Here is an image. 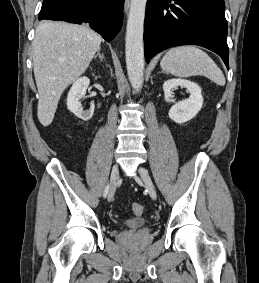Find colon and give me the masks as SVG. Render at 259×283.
<instances>
[{"mask_svg":"<svg viewBox=\"0 0 259 283\" xmlns=\"http://www.w3.org/2000/svg\"><path fill=\"white\" fill-rule=\"evenodd\" d=\"M131 210L135 215L141 216V215H143L145 208L140 203H134V204L131 205Z\"/></svg>","mask_w":259,"mask_h":283,"instance_id":"colon-1","label":"colon"}]
</instances>
